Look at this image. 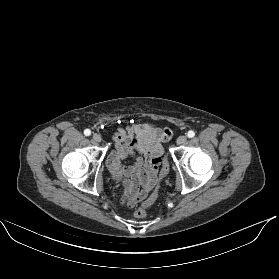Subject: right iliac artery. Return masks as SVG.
Wrapping results in <instances>:
<instances>
[{
	"mask_svg": "<svg viewBox=\"0 0 279 279\" xmlns=\"http://www.w3.org/2000/svg\"><path fill=\"white\" fill-rule=\"evenodd\" d=\"M84 134H85L86 136H89V135H91V131H90L89 129H85V130H84Z\"/></svg>",
	"mask_w": 279,
	"mask_h": 279,
	"instance_id": "82829eb1",
	"label": "right iliac artery"
}]
</instances>
